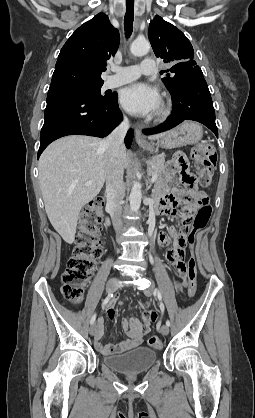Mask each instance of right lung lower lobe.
Segmentation results:
<instances>
[{"label": "right lung lower lobe", "mask_w": 255, "mask_h": 418, "mask_svg": "<svg viewBox=\"0 0 255 418\" xmlns=\"http://www.w3.org/2000/svg\"><path fill=\"white\" fill-rule=\"evenodd\" d=\"M44 118L38 158L52 141L66 135L107 136L122 121V114L117 94L102 98L87 92L54 91L48 92ZM132 139L130 129L125 137L127 148Z\"/></svg>", "instance_id": "right-lung-lower-lobe-1"}]
</instances>
